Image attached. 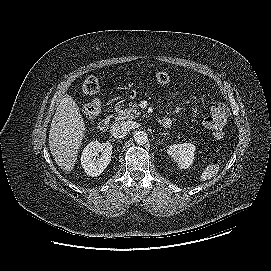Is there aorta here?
Returning <instances> with one entry per match:
<instances>
[{"instance_id": "obj_1", "label": "aorta", "mask_w": 271, "mask_h": 271, "mask_svg": "<svg viewBox=\"0 0 271 271\" xmlns=\"http://www.w3.org/2000/svg\"><path fill=\"white\" fill-rule=\"evenodd\" d=\"M134 140L137 144L143 145L148 141V135L144 131H136L134 133Z\"/></svg>"}]
</instances>
